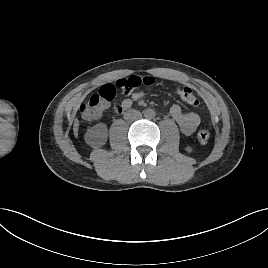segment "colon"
<instances>
[{
    "mask_svg": "<svg viewBox=\"0 0 268 268\" xmlns=\"http://www.w3.org/2000/svg\"><path fill=\"white\" fill-rule=\"evenodd\" d=\"M155 82L156 79L153 76L132 75L117 80L115 84H105L87 102L82 104L80 109L81 116L87 122H94L102 117L116 98L118 92L122 95H128L141 86L149 87L154 85ZM176 92L190 106L197 107L200 104L199 99L189 87H178ZM197 138L199 142L207 143L210 139L209 130H200Z\"/></svg>",
    "mask_w": 268,
    "mask_h": 268,
    "instance_id": "colon-1",
    "label": "colon"
}]
</instances>
